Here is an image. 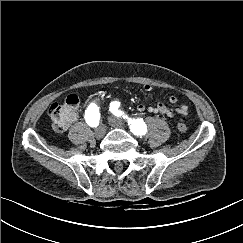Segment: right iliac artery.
Returning <instances> with one entry per match:
<instances>
[{"label":"right iliac artery","mask_w":243,"mask_h":243,"mask_svg":"<svg viewBox=\"0 0 243 243\" xmlns=\"http://www.w3.org/2000/svg\"><path fill=\"white\" fill-rule=\"evenodd\" d=\"M100 113L96 104L91 103L85 111V120L91 127H96L99 124Z\"/></svg>","instance_id":"82829eb1"}]
</instances>
